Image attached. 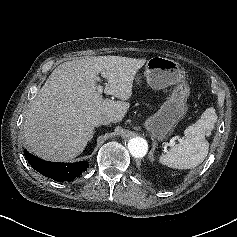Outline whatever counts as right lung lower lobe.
Returning <instances> with one entry per match:
<instances>
[{"instance_id":"obj_1","label":"right lung lower lobe","mask_w":237,"mask_h":237,"mask_svg":"<svg viewBox=\"0 0 237 237\" xmlns=\"http://www.w3.org/2000/svg\"><path fill=\"white\" fill-rule=\"evenodd\" d=\"M25 156L33 169L55 181H69L79 177L87 170L89 164L85 161L77 163H56L42 160L25 150Z\"/></svg>"}]
</instances>
